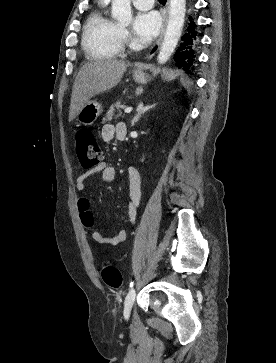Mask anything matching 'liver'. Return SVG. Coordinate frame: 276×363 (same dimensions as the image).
<instances>
[{
  "label": "liver",
  "instance_id": "1",
  "mask_svg": "<svg viewBox=\"0 0 276 363\" xmlns=\"http://www.w3.org/2000/svg\"><path fill=\"white\" fill-rule=\"evenodd\" d=\"M129 63L121 60H99L85 63L75 79L69 121L75 119L79 111L95 95L109 91L121 80Z\"/></svg>",
  "mask_w": 276,
  "mask_h": 363
}]
</instances>
